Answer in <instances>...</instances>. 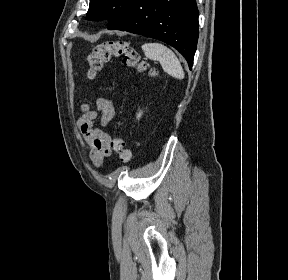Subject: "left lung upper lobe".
Masks as SVG:
<instances>
[{
  "label": "left lung upper lobe",
  "instance_id": "obj_1",
  "mask_svg": "<svg viewBox=\"0 0 288 280\" xmlns=\"http://www.w3.org/2000/svg\"><path fill=\"white\" fill-rule=\"evenodd\" d=\"M137 0H90L86 17L89 20L108 21L107 28L117 23Z\"/></svg>",
  "mask_w": 288,
  "mask_h": 280
}]
</instances>
